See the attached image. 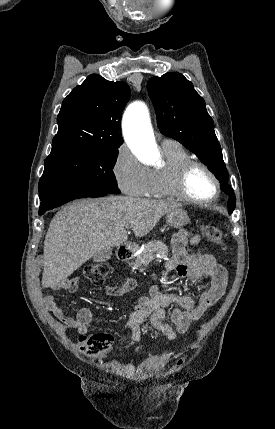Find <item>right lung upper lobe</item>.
<instances>
[{"label": "right lung upper lobe", "instance_id": "obj_1", "mask_svg": "<svg viewBox=\"0 0 275 429\" xmlns=\"http://www.w3.org/2000/svg\"><path fill=\"white\" fill-rule=\"evenodd\" d=\"M125 82H111L92 74L64 99L57 117L52 150L119 148L122 110L129 100Z\"/></svg>", "mask_w": 275, "mask_h": 429}]
</instances>
